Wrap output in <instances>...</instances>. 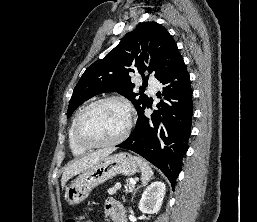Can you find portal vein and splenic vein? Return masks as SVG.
I'll return each instance as SVG.
<instances>
[{
	"label": "portal vein and splenic vein",
	"instance_id": "1",
	"mask_svg": "<svg viewBox=\"0 0 257 222\" xmlns=\"http://www.w3.org/2000/svg\"><path fill=\"white\" fill-rule=\"evenodd\" d=\"M129 182L132 184V185H135L136 184V181L134 179H130Z\"/></svg>",
	"mask_w": 257,
	"mask_h": 222
}]
</instances>
